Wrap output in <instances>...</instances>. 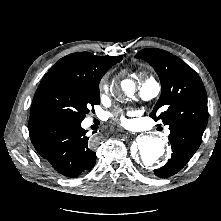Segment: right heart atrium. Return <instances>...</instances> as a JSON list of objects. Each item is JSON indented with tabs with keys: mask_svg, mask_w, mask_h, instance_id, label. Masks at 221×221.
Returning <instances> with one entry per match:
<instances>
[{
	"mask_svg": "<svg viewBox=\"0 0 221 221\" xmlns=\"http://www.w3.org/2000/svg\"><path fill=\"white\" fill-rule=\"evenodd\" d=\"M104 85H105V84H104V83H102V86H103V87H104Z\"/></svg>",
	"mask_w": 221,
	"mask_h": 221,
	"instance_id": "obj_1",
	"label": "right heart atrium"
}]
</instances>
